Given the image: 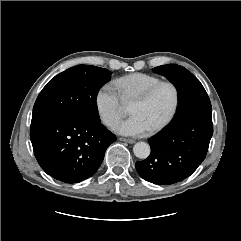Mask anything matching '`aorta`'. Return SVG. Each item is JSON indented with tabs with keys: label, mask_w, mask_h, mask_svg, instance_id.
I'll use <instances>...</instances> for the list:
<instances>
[{
	"label": "aorta",
	"mask_w": 241,
	"mask_h": 241,
	"mask_svg": "<svg viewBox=\"0 0 241 241\" xmlns=\"http://www.w3.org/2000/svg\"><path fill=\"white\" fill-rule=\"evenodd\" d=\"M134 155L140 159H146L150 155V146L145 142H137L133 147Z\"/></svg>",
	"instance_id": "762f6f07"
}]
</instances>
